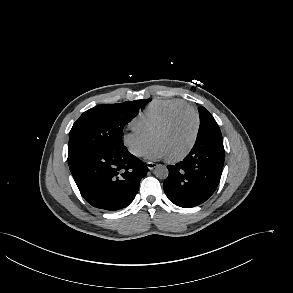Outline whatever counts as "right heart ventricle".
<instances>
[{
	"label": "right heart ventricle",
	"instance_id": "right-heart-ventricle-1",
	"mask_svg": "<svg viewBox=\"0 0 293 293\" xmlns=\"http://www.w3.org/2000/svg\"><path fill=\"white\" fill-rule=\"evenodd\" d=\"M190 107L180 99H159L151 102L133 121V128L151 137L155 129L173 112Z\"/></svg>",
	"mask_w": 293,
	"mask_h": 293
}]
</instances>
